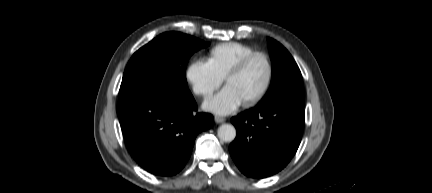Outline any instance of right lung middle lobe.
Masks as SVG:
<instances>
[{
	"label": "right lung middle lobe",
	"instance_id": "right-lung-middle-lobe-1",
	"mask_svg": "<svg viewBox=\"0 0 432 193\" xmlns=\"http://www.w3.org/2000/svg\"><path fill=\"white\" fill-rule=\"evenodd\" d=\"M179 32L163 33L136 51L125 69L120 99L143 90H155L173 97L191 95L186 81L190 56L208 46Z\"/></svg>",
	"mask_w": 432,
	"mask_h": 193
}]
</instances>
